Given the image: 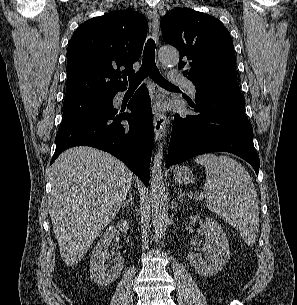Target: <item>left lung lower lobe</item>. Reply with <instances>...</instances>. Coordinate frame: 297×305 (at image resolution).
<instances>
[{
	"label": "left lung lower lobe",
	"instance_id": "left-lung-lower-lobe-1",
	"mask_svg": "<svg viewBox=\"0 0 297 305\" xmlns=\"http://www.w3.org/2000/svg\"><path fill=\"white\" fill-rule=\"evenodd\" d=\"M189 105L198 114L175 115L166 167L196 155L226 151L247 161L258 175L260 160L237 81L196 91L195 103Z\"/></svg>",
	"mask_w": 297,
	"mask_h": 305
}]
</instances>
